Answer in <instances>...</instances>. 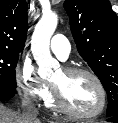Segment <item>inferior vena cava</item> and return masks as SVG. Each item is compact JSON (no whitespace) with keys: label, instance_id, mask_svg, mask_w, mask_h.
<instances>
[{"label":"inferior vena cava","instance_id":"1","mask_svg":"<svg viewBox=\"0 0 118 123\" xmlns=\"http://www.w3.org/2000/svg\"><path fill=\"white\" fill-rule=\"evenodd\" d=\"M38 113L39 112L35 104L31 102L30 99L25 95V98L22 101L23 116L29 121H34L37 119Z\"/></svg>","mask_w":118,"mask_h":123}]
</instances>
